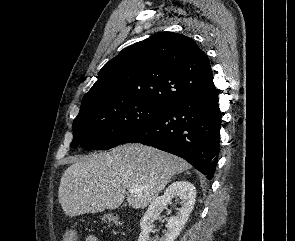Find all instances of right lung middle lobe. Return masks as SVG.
Returning a JSON list of instances; mask_svg holds the SVG:
<instances>
[{"instance_id": "dd1d6c3e", "label": "right lung middle lobe", "mask_w": 295, "mask_h": 241, "mask_svg": "<svg viewBox=\"0 0 295 241\" xmlns=\"http://www.w3.org/2000/svg\"><path fill=\"white\" fill-rule=\"evenodd\" d=\"M164 107L127 99L114 91H102L83 98L73 122L71 147L107 150L162 112Z\"/></svg>"}]
</instances>
